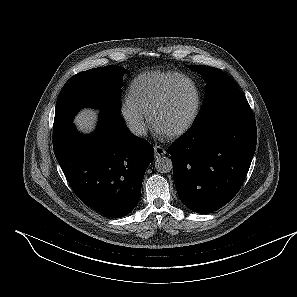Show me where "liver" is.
Wrapping results in <instances>:
<instances>
[{
    "label": "liver",
    "instance_id": "obj_1",
    "mask_svg": "<svg viewBox=\"0 0 297 297\" xmlns=\"http://www.w3.org/2000/svg\"><path fill=\"white\" fill-rule=\"evenodd\" d=\"M97 113V111L91 109L81 111L75 119L78 129L85 133L92 131L97 120Z\"/></svg>",
    "mask_w": 297,
    "mask_h": 297
}]
</instances>
